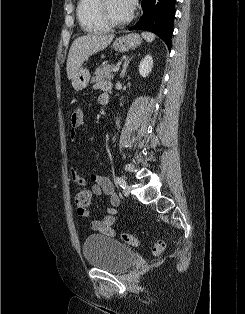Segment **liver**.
<instances>
[{
	"mask_svg": "<svg viewBox=\"0 0 245 314\" xmlns=\"http://www.w3.org/2000/svg\"><path fill=\"white\" fill-rule=\"evenodd\" d=\"M114 35L91 33L76 38L69 50L66 71L68 79H72L83 63L93 54L105 49Z\"/></svg>",
	"mask_w": 245,
	"mask_h": 314,
	"instance_id": "6515ba94",
	"label": "liver"
}]
</instances>
